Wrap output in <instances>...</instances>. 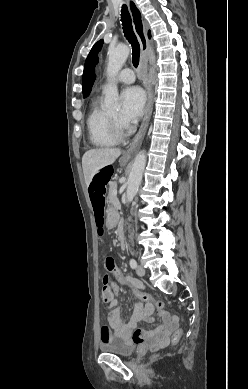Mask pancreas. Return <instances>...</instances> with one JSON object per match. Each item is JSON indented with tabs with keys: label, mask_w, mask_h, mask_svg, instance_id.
I'll return each instance as SVG.
<instances>
[{
	"label": "pancreas",
	"mask_w": 248,
	"mask_h": 389,
	"mask_svg": "<svg viewBox=\"0 0 248 389\" xmlns=\"http://www.w3.org/2000/svg\"><path fill=\"white\" fill-rule=\"evenodd\" d=\"M117 190V183L111 182L109 184V193H108V202L111 205L112 208L118 209L120 207L119 200L117 199L116 195H114V192Z\"/></svg>",
	"instance_id": "pancreas-1"
}]
</instances>
